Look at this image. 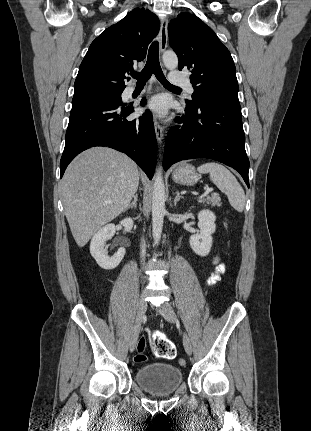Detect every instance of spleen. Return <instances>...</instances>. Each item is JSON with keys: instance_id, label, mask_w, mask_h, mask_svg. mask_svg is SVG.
Instances as JSON below:
<instances>
[{"instance_id": "1", "label": "spleen", "mask_w": 311, "mask_h": 431, "mask_svg": "<svg viewBox=\"0 0 311 431\" xmlns=\"http://www.w3.org/2000/svg\"><path fill=\"white\" fill-rule=\"evenodd\" d=\"M197 172L200 174H209V178L223 194H226L230 206L237 210V212H243L246 204V198L243 188H241L239 182H237L235 176L224 168L222 164H216V162H208V164H202L197 168Z\"/></svg>"}]
</instances>
